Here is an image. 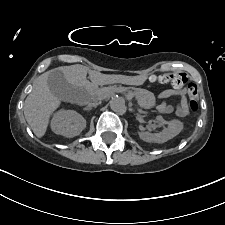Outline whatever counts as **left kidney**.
Returning <instances> with one entry per match:
<instances>
[{"label":"left kidney","instance_id":"1","mask_svg":"<svg viewBox=\"0 0 225 225\" xmlns=\"http://www.w3.org/2000/svg\"><path fill=\"white\" fill-rule=\"evenodd\" d=\"M156 122L167 124L160 133H150L141 131L138 133L141 140L145 142L164 143L177 136L183 129V124L179 120L166 121L161 115L156 116Z\"/></svg>","mask_w":225,"mask_h":225}]
</instances>
